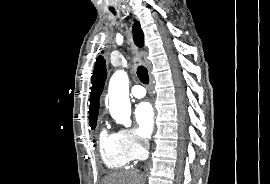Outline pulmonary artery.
Wrapping results in <instances>:
<instances>
[{
  "mask_svg": "<svg viewBox=\"0 0 270 184\" xmlns=\"http://www.w3.org/2000/svg\"><path fill=\"white\" fill-rule=\"evenodd\" d=\"M131 94L135 98H143L146 95V90L141 85H135L131 89Z\"/></svg>",
  "mask_w": 270,
  "mask_h": 184,
  "instance_id": "1",
  "label": "pulmonary artery"
}]
</instances>
